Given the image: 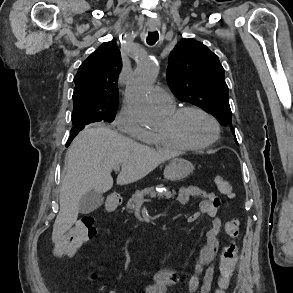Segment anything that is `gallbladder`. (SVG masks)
Segmentation results:
<instances>
[{
  "label": "gallbladder",
  "mask_w": 293,
  "mask_h": 293,
  "mask_svg": "<svg viewBox=\"0 0 293 293\" xmlns=\"http://www.w3.org/2000/svg\"><path fill=\"white\" fill-rule=\"evenodd\" d=\"M103 202L104 197L102 194L95 191H90L82 196L79 203V211L82 214H89L101 207Z\"/></svg>",
  "instance_id": "gallbladder-1"
}]
</instances>
